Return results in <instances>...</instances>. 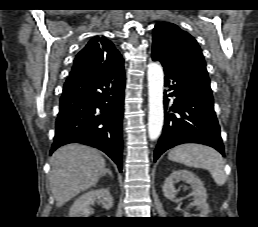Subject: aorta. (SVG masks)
<instances>
[{
	"mask_svg": "<svg viewBox=\"0 0 258 227\" xmlns=\"http://www.w3.org/2000/svg\"><path fill=\"white\" fill-rule=\"evenodd\" d=\"M148 134L151 140H156L162 131L164 121L163 110V69L158 63L148 65Z\"/></svg>",
	"mask_w": 258,
	"mask_h": 227,
	"instance_id": "obj_1",
	"label": "aorta"
}]
</instances>
